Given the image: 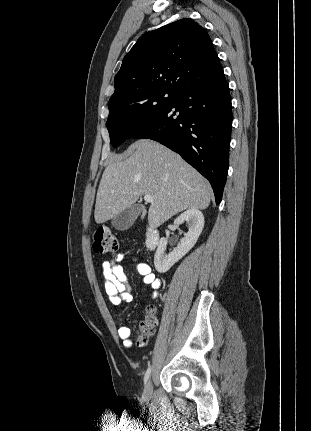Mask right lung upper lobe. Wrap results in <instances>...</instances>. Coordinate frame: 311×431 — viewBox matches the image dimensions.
Here are the masks:
<instances>
[{
    "label": "right lung upper lobe",
    "mask_w": 311,
    "mask_h": 431,
    "mask_svg": "<svg viewBox=\"0 0 311 431\" xmlns=\"http://www.w3.org/2000/svg\"><path fill=\"white\" fill-rule=\"evenodd\" d=\"M207 31L182 19L142 35L124 57L110 99L126 94L183 89L222 72Z\"/></svg>",
    "instance_id": "obj_1"
}]
</instances>
